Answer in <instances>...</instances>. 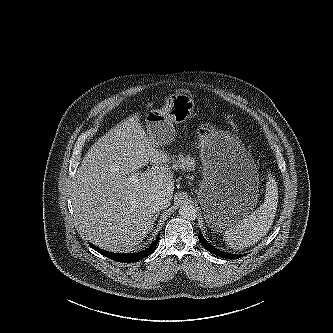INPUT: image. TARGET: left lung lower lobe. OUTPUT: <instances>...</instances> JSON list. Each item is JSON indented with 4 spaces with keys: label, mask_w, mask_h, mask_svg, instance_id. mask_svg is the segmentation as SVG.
<instances>
[{
    "label": "left lung lower lobe",
    "mask_w": 333,
    "mask_h": 333,
    "mask_svg": "<svg viewBox=\"0 0 333 333\" xmlns=\"http://www.w3.org/2000/svg\"><path fill=\"white\" fill-rule=\"evenodd\" d=\"M199 241L200 243L210 252L214 253L215 255L226 258V259H237L240 258L242 255H236V254H231L227 252L220 251L216 247L212 246L210 243L207 242V240L202 236L201 231H199Z\"/></svg>",
    "instance_id": "obj_1"
}]
</instances>
